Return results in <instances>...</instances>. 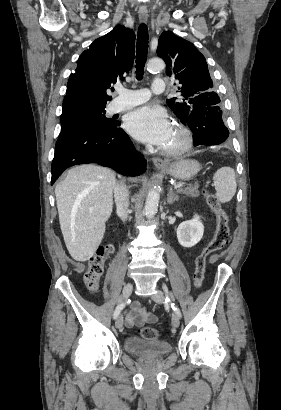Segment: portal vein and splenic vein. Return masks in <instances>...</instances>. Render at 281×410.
<instances>
[{
    "mask_svg": "<svg viewBox=\"0 0 281 410\" xmlns=\"http://www.w3.org/2000/svg\"><path fill=\"white\" fill-rule=\"evenodd\" d=\"M183 185L184 183H177V184H174L173 186L175 189H178V188H181Z\"/></svg>",
    "mask_w": 281,
    "mask_h": 410,
    "instance_id": "18ae733b",
    "label": "portal vein and splenic vein"
}]
</instances>
